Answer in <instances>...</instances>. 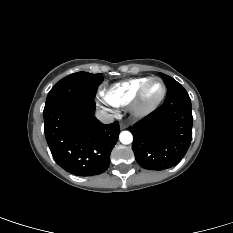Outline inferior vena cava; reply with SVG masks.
I'll return each instance as SVG.
<instances>
[{"instance_id": "602c4592", "label": "inferior vena cava", "mask_w": 233, "mask_h": 233, "mask_svg": "<svg viewBox=\"0 0 233 233\" xmlns=\"http://www.w3.org/2000/svg\"><path fill=\"white\" fill-rule=\"evenodd\" d=\"M96 117L98 120H100L104 124H109L114 122V117L113 115L103 111L99 110L96 112Z\"/></svg>"}]
</instances>
